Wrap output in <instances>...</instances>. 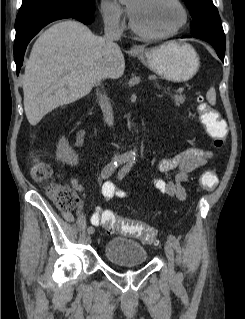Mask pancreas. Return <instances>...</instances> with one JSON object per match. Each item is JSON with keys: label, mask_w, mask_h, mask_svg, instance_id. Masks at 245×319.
I'll use <instances>...</instances> for the list:
<instances>
[{"label": "pancreas", "mask_w": 245, "mask_h": 319, "mask_svg": "<svg viewBox=\"0 0 245 319\" xmlns=\"http://www.w3.org/2000/svg\"><path fill=\"white\" fill-rule=\"evenodd\" d=\"M177 92H179V90ZM171 97L173 98L174 103L176 105H180V104H183L185 102V96L182 94H179V93L173 94V95H171Z\"/></svg>", "instance_id": "1"}]
</instances>
